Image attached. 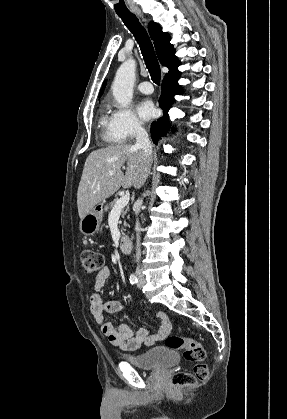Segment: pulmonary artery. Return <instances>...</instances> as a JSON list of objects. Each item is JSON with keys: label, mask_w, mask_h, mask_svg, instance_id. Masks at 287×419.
Segmentation results:
<instances>
[{"label": "pulmonary artery", "mask_w": 287, "mask_h": 419, "mask_svg": "<svg viewBox=\"0 0 287 419\" xmlns=\"http://www.w3.org/2000/svg\"><path fill=\"white\" fill-rule=\"evenodd\" d=\"M138 90L143 94H151L153 92V87L150 82L143 81L138 85Z\"/></svg>", "instance_id": "e3ab8cb5"}]
</instances>
